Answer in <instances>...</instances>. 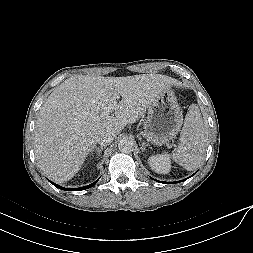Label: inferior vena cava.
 Listing matches in <instances>:
<instances>
[{"label": "inferior vena cava", "instance_id": "inferior-vena-cava-1", "mask_svg": "<svg viewBox=\"0 0 253 253\" xmlns=\"http://www.w3.org/2000/svg\"><path fill=\"white\" fill-rule=\"evenodd\" d=\"M114 138H115L114 132L108 129H104L99 132L98 137H97V142L101 146H107L113 142Z\"/></svg>", "mask_w": 253, "mask_h": 253}]
</instances>
